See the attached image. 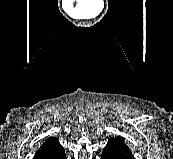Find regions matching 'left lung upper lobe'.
<instances>
[{
    "label": "left lung upper lobe",
    "mask_w": 173,
    "mask_h": 159,
    "mask_svg": "<svg viewBox=\"0 0 173 159\" xmlns=\"http://www.w3.org/2000/svg\"><path fill=\"white\" fill-rule=\"evenodd\" d=\"M108 142H111L121 147H124L126 149H129L128 146L124 143L123 138L121 137L110 138Z\"/></svg>",
    "instance_id": "obj_1"
}]
</instances>
